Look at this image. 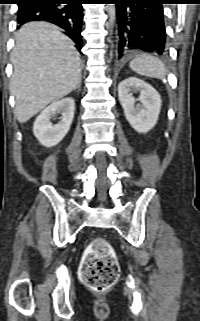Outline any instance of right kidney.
<instances>
[{"instance_id": "1", "label": "right kidney", "mask_w": 200, "mask_h": 321, "mask_svg": "<svg viewBox=\"0 0 200 321\" xmlns=\"http://www.w3.org/2000/svg\"><path fill=\"white\" fill-rule=\"evenodd\" d=\"M74 110V99L67 97L54 101L40 113L34 122L33 133L43 146L53 147L66 136L74 118ZM56 113L62 117L53 125L50 119Z\"/></svg>"}]
</instances>
